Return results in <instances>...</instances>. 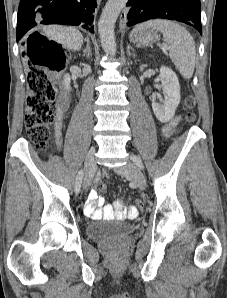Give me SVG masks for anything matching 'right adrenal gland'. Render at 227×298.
Masks as SVG:
<instances>
[{"label": "right adrenal gland", "mask_w": 227, "mask_h": 298, "mask_svg": "<svg viewBox=\"0 0 227 298\" xmlns=\"http://www.w3.org/2000/svg\"><path fill=\"white\" fill-rule=\"evenodd\" d=\"M85 41H86V47H85V49H83V56L90 59V57L92 56V53H91L89 39L87 38V39H85Z\"/></svg>", "instance_id": "1"}]
</instances>
